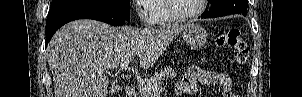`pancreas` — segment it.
Listing matches in <instances>:
<instances>
[{
    "label": "pancreas",
    "mask_w": 302,
    "mask_h": 97,
    "mask_svg": "<svg viewBox=\"0 0 302 97\" xmlns=\"http://www.w3.org/2000/svg\"><path fill=\"white\" fill-rule=\"evenodd\" d=\"M175 76L176 73L171 67H165L159 73H155L154 76L146 79L138 86V97H152L155 86H159L164 83V81L172 79Z\"/></svg>",
    "instance_id": "1"
}]
</instances>
